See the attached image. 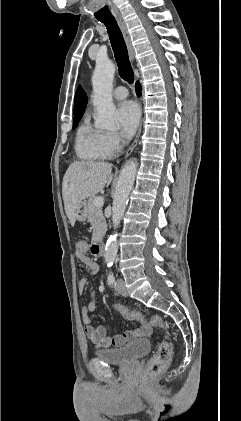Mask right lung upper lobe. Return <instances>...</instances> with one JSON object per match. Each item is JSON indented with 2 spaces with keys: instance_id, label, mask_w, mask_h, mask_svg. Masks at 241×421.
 <instances>
[{
  "instance_id": "right-lung-upper-lobe-1",
  "label": "right lung upper lobe",
  "mask_w": 241,
  "mask_h": 421,
  "mask_svg": "<svg viewBox=\"0 0 241 421\" xmlns=\"http://www.w3.org/2000/svg\"><path fill=\"white\" fill-rule=\"evenodd\" d=\"M87 105V96L83 91L82 87L79 86L75 94L74 103V118L82 117L83 112Z\"/></svg>"
}]
</instances>
